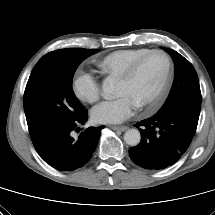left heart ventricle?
Instances as JSON below:
<instances>
[{
	"label": "left heart ventricle",
	"instance_id": "b2bd125f",
	"mask_svg": "<svg viewBox=\"0 0 215 215\" xmlns=\"http://www.w3.org/2000/svg\"><path fill=\"white\" fill-rule=\"evenodd\" d=\"M167 68L163 55L153 54L143 60L127 81H118L117 94L129 95L137 105L148 101L160 87Z\"/></svg>",
	"mask_w": 215,
	"mask_h": 215
}]
</instances>
